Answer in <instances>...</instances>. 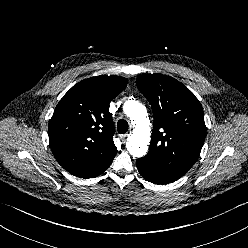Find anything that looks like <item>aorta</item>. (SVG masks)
Returning a JSON list of instances; mask_svg holds the SVG:
<instances>
[{"mask_svg":"<svg viewBox=\"0 0 248 248\" xmlns=\"http://www.w3.org/2000/svg\"><path fill=\"white\" fill-rule=\"evenodd\" d=\"M125 114L131 119L133 132L128 136L127 149L134 157H143L147 153L150 141V124L148 113L143 104L128 100L123 106Z\"/></svg>","mask_w":248,"mask_h":248,"instance_id":"aorta-1","label":"aorta"}]
</instances>
